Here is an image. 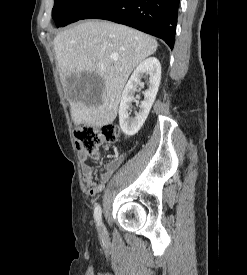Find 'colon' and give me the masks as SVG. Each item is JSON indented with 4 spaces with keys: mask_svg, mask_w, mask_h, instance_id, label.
Listing matches in <instances>:
<instances>
[{
    "mask_svg": "<svg viewBox=\"0 0 247 275\" xmlns=\"http://www.w3.org/2000/svg\"><path fill=\"white\" fill-rule=\"evenodd\" d=\"M77 147L89 154L91 158L98 157V148L103 142L115 143L120 137L116 125L106 124L101 127L83 126L75 132Z\"/></svg>",
    "mask_w": 247,
    "mask_h": 275,
    "instance_id": "colon-1",
    "label": "colon"
}]
</instances>
